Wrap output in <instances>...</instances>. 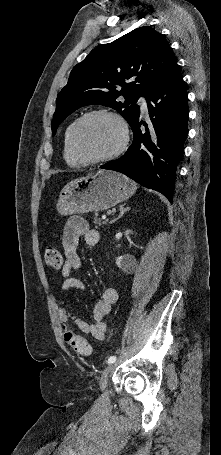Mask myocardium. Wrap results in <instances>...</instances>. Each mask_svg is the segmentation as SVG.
I'll list each match as a JSON object with an SVG mask.
<instances>
[{"label": "myocardium", "instance_id": "f54148a6", "mask_svg": "<svg viewBox=\"0 0 221 455\" xmlns=\"http://www.w3.org/2000/svg\"><path fill=\"white\" fill-rule=\"evenodd\" d=\"M96 116H108V117H111L112 119H114L120 127L122 139H121V143L119 144V146L112 152L108 153L107 155L97 157V158H88L80 151V149L78 147L77 135H78V130H79L80 125L87 119L96 117ZM70 141H71V147H72L74 154L84 164H98V163L110 161V160L118 157L127 149L129 141H130V131H129V127H128L126 120L120 113H118L114 110H111V109L100 108V109H95V110H92V111H89V112L83 114L74 122L72 129H71Z\"/></svg>", "mask_w": 221, "mask_h": 455}]
</instances>
